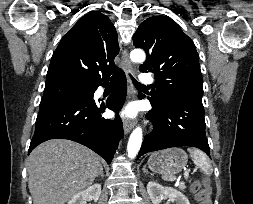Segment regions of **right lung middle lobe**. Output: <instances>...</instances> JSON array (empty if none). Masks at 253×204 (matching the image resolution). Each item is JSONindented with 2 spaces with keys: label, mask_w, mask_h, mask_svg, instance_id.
<instances>
[{
  "label": "right lung middle lobe",
  "mask_w": 253,
  "mask_h": 204,
  "mask_svg": "<svg viewBox=\"0 0 253 204\" xmlns=\"http://www.w3.org/2000/svg\"><path fill=\"white\" fill-rule=\"evenodd\" d=\"M93 94V87L69 81H54L46 83L41 101L68 98L90 99Z\"/></svg>",
  "instance_id": "right-lung-middle-lobe-1"
}]
</instances>
